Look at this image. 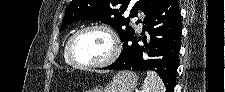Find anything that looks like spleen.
Listing matches in <instances>:
<instances>
[{"label":"spleen","instance_id":"spleen-1","mask_svg":"<svg viewBox=\"0 0 225 92\" xmlns=\"http://www.w3.org/2000/svg\"><path fill=\"white\" fill-rule=\"evenodd\" d=\"M141 92H166V88L156 72L148 71Z\"/></svg>","mask_w":225,"mask_h":92}]
</instances>
